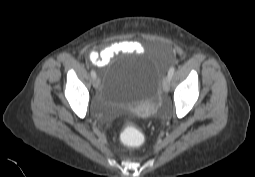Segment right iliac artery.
<instances>
[{
  "instance_id": "82829eb1",
  "label": "right iliac artery",
  "mask_w": 255,
  "mask_h": 177,
  "mask_svg": "<svg viewBox=\"0 0 255 177\" xmlns=\"http://www.w3.org/2000/svg\"><path fill=\"white\" fill-rule=\"evenodd\" d=\"M91 76H92V78H96V73H95V71H91Z\"/></svg>"
}]
</instances>
